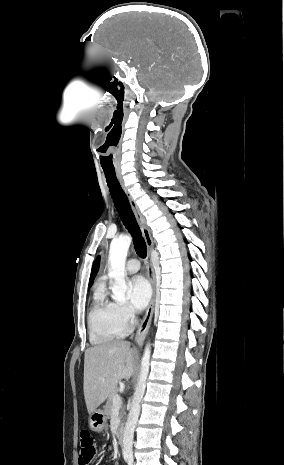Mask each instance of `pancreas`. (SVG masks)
<instances>
[{
  "label": "pancreas",
  "mask_w": 284,
  "mask_h": 465,
  "mask_svg": "<svg viewBox=\"0 0 284 465\" xmlns=\"http://www.w3.org/2000/svg\"><path fill=\"white\" fill-rule=\"evenodd\" d=\"M115 395H117V389H115V391H112V393H110L109 397H107V403L104 407L105 411V415L107 417V419H111V415H112V409H113V397H115ZM124 415H126L123 407H121V411H120V415H119V419L121 421L119 427H123V423H124Z\"/></svg>",
  "instance_id": "pancreas-1"
}]
</instances>
